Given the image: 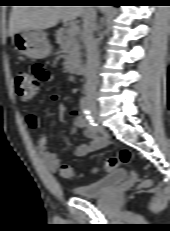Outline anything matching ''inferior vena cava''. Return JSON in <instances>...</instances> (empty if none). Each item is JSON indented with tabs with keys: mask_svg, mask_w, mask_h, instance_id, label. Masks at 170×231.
Listing matches in <instances>:
<instances>
[{
	"mask_svg": "<svg viewBox=\"0 0 170 231\" xmlns=\"http://www.w3.org/2000/svg\"><path fill=\"white\" fill-rule=\"evenodd\" d=\"M81 16L83 19L82 37L87 57L85 88L87 93H95L98 84L97 71L99 67V52L93 36L96 20L94 6H83Z\"/></svg>",
	"mask_w": 170,
	"mask_h": 231,
	"instance_id": "602c4592",
	"label": "inferior vena cava"
}]
</instances>
